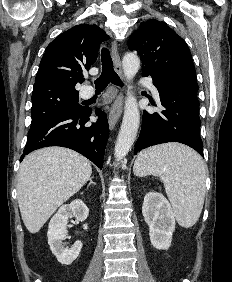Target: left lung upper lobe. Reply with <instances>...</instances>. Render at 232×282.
<instances>
[{
    "mask_svg": "<svg viewBox=\"0 0 232 282\" xmlns=\"http://www.w3.org/2000/svg\"><path fill=\"white\" fill-rule=\"evenodd\" d=\"M128 47L141 57L142 75L197 82L188 46L165 23L156 19L141 23L131 34Z\"/></svg>",
    "mask_w": 232,
    "mask_h": 282,
    "instance_id": "left-lung-upper-lobe-1",
    "label": "left lung upper lobe"
}]
</instances>
